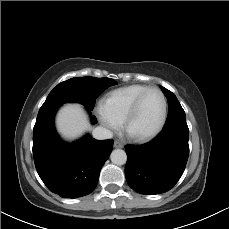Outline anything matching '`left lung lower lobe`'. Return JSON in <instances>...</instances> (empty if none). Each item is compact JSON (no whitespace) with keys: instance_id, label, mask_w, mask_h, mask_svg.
Wrapping results in <instances>:
<instances>
[{"instance_id":"0a47b994","label":"left lung lower lobe","mask_w":229,"mask_h":229,"mask_svg":"<svg viewBox=\"0 0 229 229\" xmlns=\"http://www.w3.org/2000/svg\"><path fill=\"white\" fill-rule=\"evenodd\" d=\"M186 122L164 127L150 143L127 145L125 176L138 193L155 195L170 190L182 176L189 155Z\"/></svg>"}]
</instances>
